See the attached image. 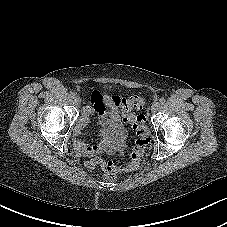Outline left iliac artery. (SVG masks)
Listing matches in <instances>:
<instances>
[{"label":"left iliac artery","mask_w":227,"mask_h":227,"mask_svg":"<svg viewBox=\"0 0 227 227\" xmlns=\"http://www.w3.org/2000/svg\"><path fill=\"white\" fill-rule=\"evenodd\" d=\"M164 103H165V98H160V99H159V104L162 105V104H164Z\"/></svg>","instance_id":"obj_1"}]
</instances>
